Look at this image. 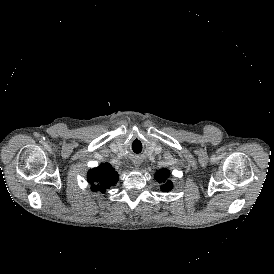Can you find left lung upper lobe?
Returning a JSON list of instances; mask_svg holds the SVG:
<instances>
[{
  "label": "left lung upper lobe",
  "instance_id": "obj_1",
  "mask_svg": "<svg viewBox=\"0 0 274 274\" xmlns=\"http://www.w3.org/2000/svg\"><path fill=\"white\" fill-rule=\"evenodd\" d=\"M170 177V171L168 169L162 168L155 174V179L162 184L161 191H170L172 189V182L168 179Z\"/></svg>",
  "mask_w": 274,
  "mask_h": 274
}]
</instances>
